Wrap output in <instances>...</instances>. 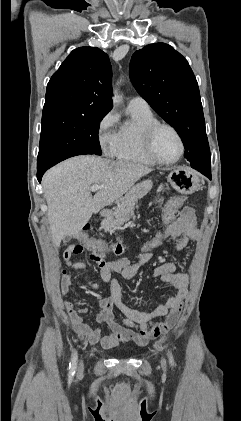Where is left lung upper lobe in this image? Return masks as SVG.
Instances as JSON below:
<instances>
[{
  "label": "left lung upper lobe",
  "mask_w": 241,
  "mask_h": 421,
  "mask_svg": "<svg viewBox=\"0 0 241 421\" xmlns=\"http://www.w3.org/2000/svg\"><path fill=\"white\" fill-rule=\"evenodd\" d=\"M130 75L140 96L178 132L185 158L210 164L199 88L188 61L168 44H150L133 54Z\"/></svg>",
  "instance_id": "5c2ea615"
}]
</instances>
